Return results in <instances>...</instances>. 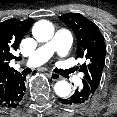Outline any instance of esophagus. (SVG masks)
<instances>
[{"label":"esophagus","mask_w":117,"mask_h":117,"mask_svg":"<svg viewBox=\"0 0 117 117\" xmlns=\"http://www.w3.org/2000/svg\"><path fill=\"white\" fill-rule=\"evenodd\" d=\"M49 77L53 80V81H57L60 79V76L57 73L54 72H50L49 73Z\"/></svg>","instance_id":"1"}]
</instances>
